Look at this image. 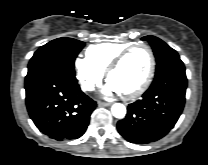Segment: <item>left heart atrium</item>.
<instances>
[{
  "mask_svg": "<svg viewBox=\"0 0 208 165\" xmlns=\"http://www.w3.org/2000/svg\"><path fill=\"white\" fill-rule=\"evenodd\" d=\"M104 93L107 95H111V94L119 93V91L114 87L113 84L109 82L104 89Z\"/></svg>",
  "mask_w": 208,
  "mask_h": 165,
  "instance_id": "39dd6f15",
  "label": "left heart atrium"
}]
</instances>
